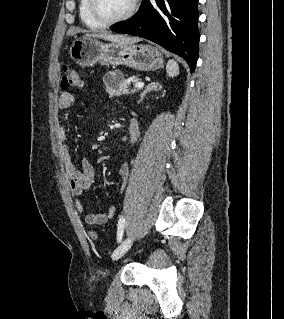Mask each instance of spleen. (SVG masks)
Here are the masks:
<instances>
[{
  "label": "spleen",
  "instance_id": "obj_1",
  "mask_svg": "<svg viewBox=\"0 0 284 319\" xmlns=\"http://www.w3.org/2000/svg\"><path fill=\"white\" fill-rule=\"evenodd\" d=\"M166 72L169 77H175L179 75V65L173 59H170L166 66Z\"/></svg>",
  "mask_w": 284,
  "mask_h": 319
}]
</instances>
